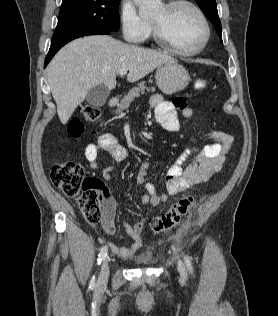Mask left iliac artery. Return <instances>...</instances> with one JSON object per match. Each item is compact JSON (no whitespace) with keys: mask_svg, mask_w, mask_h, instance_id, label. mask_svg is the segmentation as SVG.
I'll return each instance as SVG.
<instances>
[{"mask_svg":"<svg viewBox=\"0 0 278 316\" xmlns=\"http://www.w3.org/2000/svg\"><path fill=\"white\" fill-rule=\"evenodd\" d=\"M184 260H185V263H186L187 267L189 268V270L192 271L193 268H192V264H191V261H190L189 257L184 256Z\"/></svg>","mask_w":278,"mask_h":316,"instance_id":"44dca946","label":"left iliac artery"}]
</instances>
